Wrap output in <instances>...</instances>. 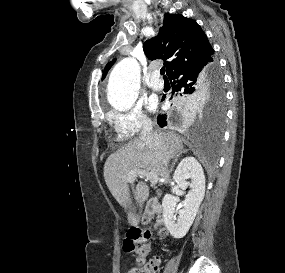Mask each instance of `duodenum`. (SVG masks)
I'll list each match as a JSON object with an SVG mask.
<instances>
[{
  "mask_svg": "<svg viewBox=\"0 0 285 273\" xmlns=\"http://www.w3.org/2000/svg\"><path fill=\"white\" fill-rule=\"evenodd\" d=\"M161 212V206L156 199H151L147 206L145 216L143 217V221L150 219L152 216H156ZM160 223V221H158Z\"/></svg>",
  "mask_w": 285,
  "mask_h": 273,
  "instance_id": "1",
  "label": "duodenum"
}]
</instances>
